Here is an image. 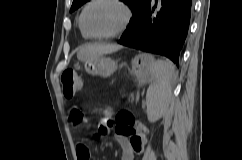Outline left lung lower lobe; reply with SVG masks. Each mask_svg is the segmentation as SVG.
Wrapping results in <instances>:
<instances>
[{"label":"left lung lower lobe","instance_id":"0a47b994","mask_svg":"<svg viewBox=\"0 0 242 160\" xmlns=\"http://www.w3.org/2000/svg\"><path fill=\"white\" fill-rule=\"evenodd\" d=\"M191 11L192 0H147L118 43L166 56L178 65Z\"/></svg>","mask_w":242,"mask_h":160}]
</instances>
